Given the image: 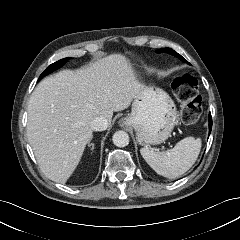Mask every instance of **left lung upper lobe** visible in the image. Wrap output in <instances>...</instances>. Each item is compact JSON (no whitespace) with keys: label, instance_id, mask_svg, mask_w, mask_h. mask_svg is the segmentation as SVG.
I'll return each mask as SVG.
<instances>
[{"label":"left lung upper lobe","instance_id":"1","mask_svg":"<svg viewBox=\"0 0 240 240\" xmlns=\"http://www.w3.org/2000/svg\"><path fill=\"white\" fill-rule=\"evenodd\" d=\"M157 52H158V53L166 52V53H169V54H171V55H174V56H176V57H178V58H180V59H183V57H182L180 54H178L177 52H175L174 50H172V49H170V48H163V49L158 50Z\"/></svg>","mask_w":240,"mask_h":240}]
</instances>
